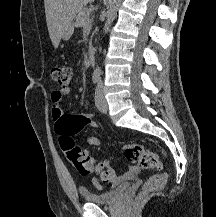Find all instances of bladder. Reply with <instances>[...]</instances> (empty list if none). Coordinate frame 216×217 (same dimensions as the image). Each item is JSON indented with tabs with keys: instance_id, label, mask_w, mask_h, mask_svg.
I'll return each instance as SVG.
<instances>
[{
	"instance_id": "31cf9c89",
	"label": "bladder",
	"mask_w": 216,
	"mask_h": 217,
	"mask_svg": "<svg viewBox=\"0 0 216 217\" xmlns=\"http://www.w3.org/2000/svg\"><path fill=\"white\" fill-rule=\"evenodd\" d=\"M128 188L129 185L123 184L104 192L82 190L81 195L82 198L88 203H94L100 205L113 204L118 202L122 198V196L124 195L125 191Z\"/></svg>"
}]
</instances>
